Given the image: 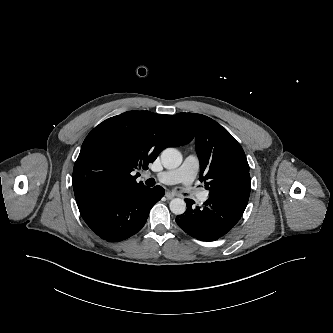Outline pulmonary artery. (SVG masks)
<instances>
[{
    "instance_id": "obj_1",
    "label": "pulmonary artery",
    "mask_w": 333,
    "mask_h": 333,
    "mask_svg": "<svg viewBox=\"0 0 333 333\" xmlns=\"http://www.w3.org/2000/svg\"><path fill=\"white\" fill-rule=\"evenodd\" d=\"M198 170V158L195 155H188L180 167L173 170L159 172L155 174V178L163 184L183 183L185 185H189L194 181ZM208 197V191H202L198 195L200 201H206Z\"/></svg>"
}]
</instances>
